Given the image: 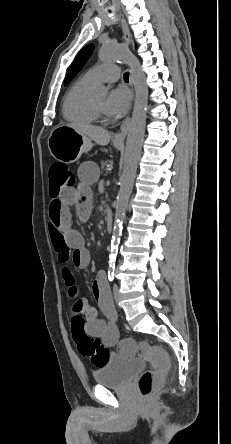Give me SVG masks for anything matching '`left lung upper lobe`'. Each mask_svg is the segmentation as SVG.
Here are the masks:
<instances>
[{"instance_id": "left-lung-upper-lobe-1", "label": "left lung upper lobe", "mask_w": 231, "mask_h": 444, "mask_svg": "<svg viewBox=\"0 0 231 444\" xmlns=\"http://www.w3.org/2000/svg\"><path fill=\"white\" fill-rule=\"evenodd\" d=\"M94 45L90 44L86 47H84L80 53L75 58L67 76L65 79L64 85L66 86L74 77L75 75L81 70L87 59L89 58L91 52L93 51Z\"/></svg>"}]
</instances>
